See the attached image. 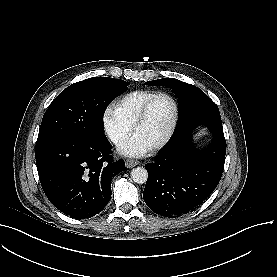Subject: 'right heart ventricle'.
Returning <instances> with one entry per match:
<instances>
[{"mask_svg": "<svg viewBox=\"0 0 277 277\" xmlns=\"http://www.w3.org/2000/svg\"><path fill=\"white\" fill-rule=\"evenodd\" d=\"M154 95L153 92L143 90L126 95L116 105L117 116L127 125L131 124Z\"/></svg>", "mask_w": 277, "mask_h": 277, "instance_id": "1", "label": "right heart ventricle"}]
</instances>
